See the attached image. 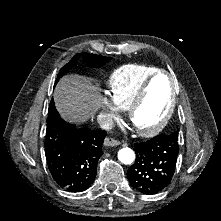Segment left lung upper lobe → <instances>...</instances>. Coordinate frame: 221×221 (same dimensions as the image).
<instances>
[{"label": "left lung upper lobe", "mask_w": 221, "mask_h": 221, "mask_svg": "<svg viewBox=\"0 0 221 221\" xmlns=\"http://www.w3.org/2000/svg\"><path fill=\"white\" fill-rule=\"evenodd\" d=\"M171 136H176V137H178V131H176V132H174V133H172V134H170Z\"/></svg>", "instance_id": "obj_1"}]
</instances>
